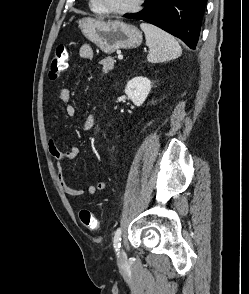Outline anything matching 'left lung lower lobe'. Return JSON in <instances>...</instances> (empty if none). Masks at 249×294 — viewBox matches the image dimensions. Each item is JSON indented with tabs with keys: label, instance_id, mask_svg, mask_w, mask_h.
I'll use <instances>...</instances> for the list:
<instances>
[{
	"label": "left lung lower lobe",
	"instance_id": "1",
	"mask_svg": "<svg viewBox=\"0 0 249 294\" xmlns=\"http://www.w3.org/2000/svg\"><path fill=\"white\" fill-rule=\"evenodd\" d=\"M207 0H146V7L126 18L141 19L180 38L195 49Z\"/></svg>",
	"mask_w": 249,
	"mask_h": 294
}]
</instances>
